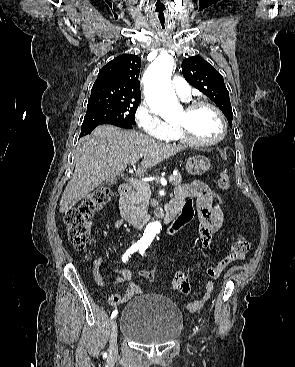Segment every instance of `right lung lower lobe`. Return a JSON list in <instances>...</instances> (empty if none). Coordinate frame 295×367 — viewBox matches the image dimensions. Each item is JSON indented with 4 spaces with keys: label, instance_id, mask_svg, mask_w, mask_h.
Instances as JSON below:
<instances>
[{
    "label": "right lung lower lobe",
    "instance_id": "1",
    "mask_svg": "<svg viewBox=\"0 0 295 367\" xmlns=\"http://www.w3.org/2000/svg\"><path fill=\"white\" fill-rule=\"evenodd\" d=\"M115 126H118V127H121V128H125V129H131L133 128V125L132 124H129V123H117V124H113ZM96 127V126H95ZM95 127H91L89 129H87L85 132H82L80 134V136H84V135H87V134H90L91 131L95 128Z\"/></svg>",
    "mask_w": 295,
    "mask_h": 367
}]
</instances>
